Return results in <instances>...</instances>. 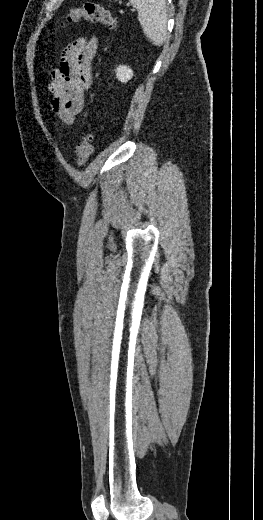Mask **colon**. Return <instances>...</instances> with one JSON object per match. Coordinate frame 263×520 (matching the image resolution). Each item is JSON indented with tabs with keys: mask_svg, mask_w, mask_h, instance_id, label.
<instances>
[{
	"mask_svg": "<svg viewBox=\"0 0 263 520\" xmlns=\"http://www.w3.org/2000/svg\"><path fill=\"white\" fill-rule=\"evenodd\" d=\"M80 20H85L91 24L101 25L110 30L116 29L119 24L118 16L113 15L97 3L87 2L81 7L70 8L64 17V20L57 26V28L61 27L65 23H75ZM92 152V135L90 133H85L81 135L79 143L76 146V163L78 165L86 163L92 155Z\"/></svg>",
	"mask_w": 263,
	"mask_h": 520,
	"instance_id": "obj_1",
	"label": "colon"
}]
</instances>
